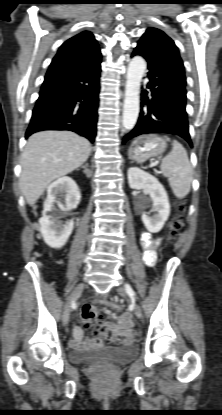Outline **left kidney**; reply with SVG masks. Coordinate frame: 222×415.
<instances>
[{
	"instance_id": "5707ae66",
	"label": "left kidney",
	"mask_w": 222,
	"mask_h": 415,
	"mask_svg": "<svg viewBox=\"0 0 222 415\" xmlns=\"http://www.w3.org/2000/svg\"><path fill=\"white\" fill-rule=\"evenodd\" d=\"M127 175L131 189H146L148 191L153 202L152 211L156 214L149 216L144 213L142 221L149 232H159L170 214V204L166 190L157 178L138 167L129 168Z\"/></svg>"
}]
</instances>
